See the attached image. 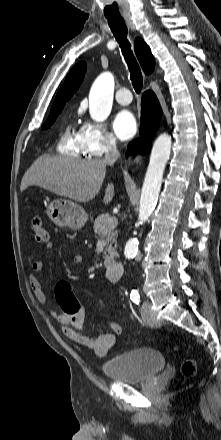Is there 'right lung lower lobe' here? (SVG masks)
Masks as SVG:
<instances>
[{"instance_id": "98d812e1", "label": "right lung lower lobe", "mask_w": 221, "mask_h": 440, "mask_svg": "<svg viewBox=\"0 0 221 440\" xmlns=\"http://www.w3.org/2000/svg\"><path fill=\"white\" fill-rule=\"evenodd\" d=\"M161 118V107L151 91H146L142 95L141 101V124L140 138L129 143L126 156L136 153L145 154L150 141L159 126Z\"/></svg>"}]
</instances>
